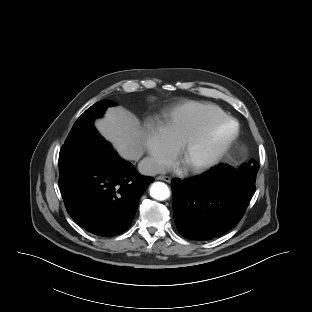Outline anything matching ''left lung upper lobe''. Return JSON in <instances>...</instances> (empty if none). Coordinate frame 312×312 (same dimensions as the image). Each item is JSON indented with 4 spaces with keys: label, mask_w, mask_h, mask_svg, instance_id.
<instances>
[{
    "label": "left lung upper lobe",
    "mask_w": 312,
    "mask_h": 312,
    "mask_svg": "<svg viewBox=\"0 0 312 312\" xmlns=\"http://www.w3.org/2000/svg\"><path fill=\"white\" fill-rule=\"evenodd\" d=\"M259 169L258 163L251 159L249 163H244L238 169L234 170L244 179L248 180L249 182L254 183L257 175V171Z\"/></svg>",
    "instance_id": "obj_1"
}]
</instances>
